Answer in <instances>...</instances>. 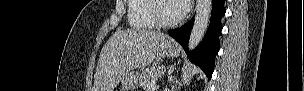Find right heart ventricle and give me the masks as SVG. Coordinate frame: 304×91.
Returning <instances> with one entry per match:
<instances>
[{"mask_svg":"<svg viewBox=\"0 0 304 91\" xmlns=\"http://www.w3.org/2000/svg\"><path fill=\"white\" fill-rule=\"evenodd\" d=\"M151 0H129L127 21L129 26L135 29H154L156 24L149 12Z\"/></svg>","mask_w":304,"mask_h":91,"instance_id":"e07e8e85","label":"right heart ventricle"}]
</instances>
